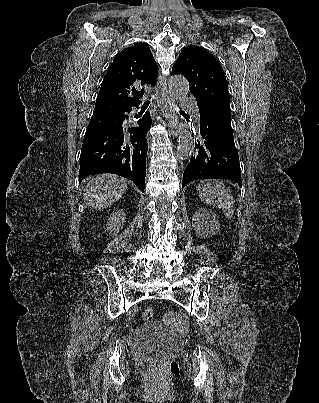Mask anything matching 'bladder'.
<instances>
[{
  "mask_svg": "<svg viewBox=\"0 0 319 403\" xmlns=\"http://www.w3.org/2000/svg\"><path fill=\"white\" fill-rule=\"evenodd\" d=\"M179 343L177 334L160 322L138 329L133 336V350L141 358L163 357Z\"/></svg>",
  "mask_w": 319,
  "mask_h": 403,
  "instance_id": "31cf9c89",
  "label": "bladder"
}]
</instances>
